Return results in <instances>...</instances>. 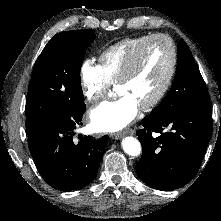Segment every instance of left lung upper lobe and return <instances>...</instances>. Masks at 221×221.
<instances>
[{
	"label": "left lung upper lobe",
	"instance_id": "1",
	"mask_svg": "<svg viewBox=\"0 0 221 221\" xmlns=\"http://www.w3.org/2000/svg\"><path fill=\"white\" fill-rule=\"evenodd\" d=\"M209 98L206 84L200 74L188 45L183 39L178 45L177 69L172 88L162 102L150 113L153 116L164 113L176 101H204Z\"/></svg>",
	"mask_w": 221,
	"mask_h": 221
}]
</instances>
